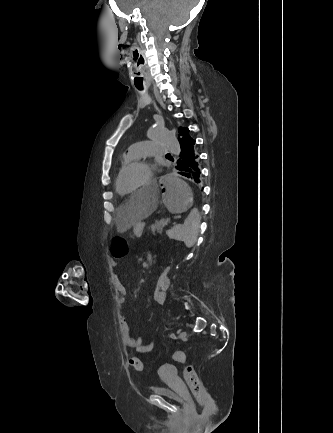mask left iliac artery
<instances>
[{"label": "left iliac artery", "instance_id": "1", "mask_svg": "<svg viewBox=\"0 0 333 433\" xmlns=\"http://www.w3.org/2000/svg\"><path fill=\"white\" fill-rule=\"evenodd\" d=\"M170 337H171V338H175V334H174V333H171V334H170Z\"/></svg>", "mask_w": 333, "mask_h": 433}]
</instances>
